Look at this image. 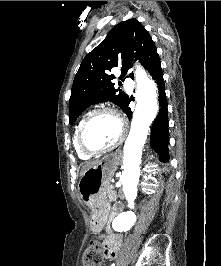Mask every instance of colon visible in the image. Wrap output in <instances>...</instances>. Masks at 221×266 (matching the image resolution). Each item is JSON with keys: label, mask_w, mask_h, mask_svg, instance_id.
<instances>
[{"label": "colon", "mask_w": 221, "mask_h": 266, "mask_svg": "<svg viewBox=\"0 0 221 266\" xmlns=\"http://www.w3.org/2000/svg\"><path fill=\"white\" fill-rule=\"evenodd\" d=\"M101 249L99 240L92 241L83 254V266H99L102 261Z\"/></svg>", "instance_id": "5ec220e1"}]
</instances>
